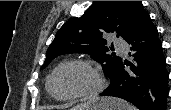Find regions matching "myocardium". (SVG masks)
Returning a JSON list of instances; mask_svg holds the SVG:
<instances>
[{
  "label": "myocardium",
  "mask_w": 171,
  "mask_h": 110,
  "mask_svg": "<svg viewBox=\"0 0 171 110\" xmlns=\"http://www.w3.org/2000/svg\"><path fill=\"white\" fill-rule=\"evenodd\" d=\"M68 65H81V66L89 69L95 76V79H96L95 86L88 91L74 93V94H71V95H68L65 97H59V96L54 95L51 90L52 79L61 68L68 66ZM104 88H105V79H104V76L102 75L101 71L95 65H93L91 62H89L87 60H83V59H69V60L61 62L58 66H56L53 69L51 74L48 76L47 82H46L47 92L53 99H55L57 101H72V100H76V99H92V98L97 97L104 90Z\"/></svg>",
  "instance_id": "f54148a6"
}]
</instances>
